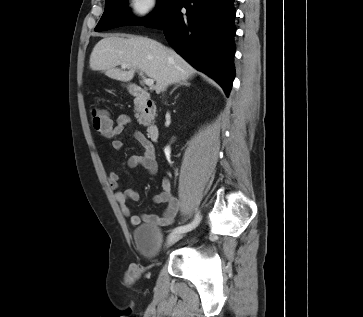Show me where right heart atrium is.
<instances>
[{
    "instance_id": "1",
    "label": "right heart atrium",
    "mask_w": 363,
    "mask_h": 317,
    "mask_svg": "<svg viewBox=\"0 0 363 317\" xmlns=\"http://www.w3.org/2000/svg\"><path fill=\"white\" fill-rule=\"evenodd\" d=\"M157 0H129L128 9L129 11L139 17L145 18L153 14L157 9Z\"/></svg>"
}]
</instances>
